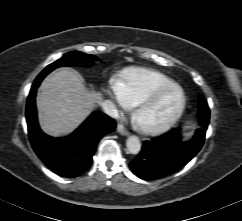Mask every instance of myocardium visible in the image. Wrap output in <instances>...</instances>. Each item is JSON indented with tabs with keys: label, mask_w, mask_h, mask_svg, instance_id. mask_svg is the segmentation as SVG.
<instances>
[{
	"label": "myocardium",
	"mask_w": 242,
	"mask_h": 221,
	"mask_svg": "<svg viewBox=\"0 0 242 221\" xmlns=\"http://www.w3.org/2000/svg\"><path fill=\"white\" fill-rule=\"evenodd\" d=\"M171 92H176L179 95V102L176 108L168 115L163 121L153 124L146 125L141 121L142 116L152 107L160 102V100ZM186 106V95L184 90L178 85L174 84L168 87L161 88L153 93L151 96L146 98L140 104L137 105L136 110L133 113V119L139 128L147 134H158L169 129L182 115Z\"/></svg>",
	"instance_id": "obj_1"
}]
</instances>
